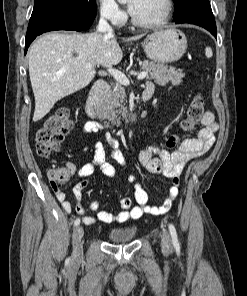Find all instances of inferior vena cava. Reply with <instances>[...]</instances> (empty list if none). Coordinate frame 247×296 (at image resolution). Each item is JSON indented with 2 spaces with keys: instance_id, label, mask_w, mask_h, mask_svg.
Returning <instances> with one entry per match:
<instances>
[{
  "instance_id": "1",
  "label": "inferior vena cava",
  "mask_w": 247,
  "mask_h": 296,
  "mask_svg": "<svg viewBox=\"0 0 247 296\" xmlns=\"http://www.w3.org/2000/svg\"><path fill=\"white\" fill-rule=\"evenodd\" d=\"M97 31L100 33H105L109 36H113V30L111 26L108 24L107 20L105 19V15L101 16L97 27Z\"/></svg>"
}]
</instances>
